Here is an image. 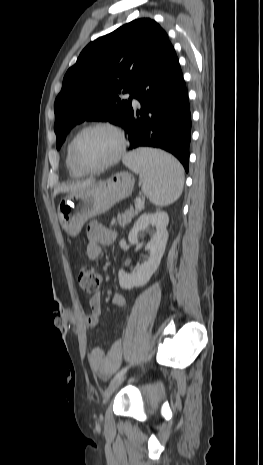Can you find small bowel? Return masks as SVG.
Returning <instances> with one entry per match:
<instances>
[{
  "mask_svg": "<svg viewBox=\"0 0 263 465\" xmlns=\"http://www.w3.org/2000/svg\"><path fill=\"white\" fill-rule=\"evenodd\" d=\"M88 244L86 253L89 259L96 260L103 253V248L113 244L116 234L111 229L98 222H91L87 227ZM125 298L121 294H115L112 297V304L115 307L122 308L125 306ZM90 315L99 320L101 316V299L99 295L91 297L88 301ZM87 316L85 323L87 322ZM87 324V323H86ZM122 344L116 341L106 352L100 347L92 348L88 353V362L91 369L101 377H109L113 374L121 363Z\"/></svg>",
  "mask_w": 263,
  "mask_h": 465,
  "instance_id": "obj_1",
  "label": "small bowel"
}]
</instances>
